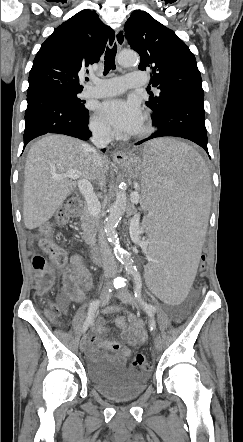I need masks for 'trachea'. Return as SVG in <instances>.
<instances>
[{"instance_id": "obj_1", "label": "trachea", "mask_w": 243, "mask_h": 442, "mask_svg": "<svg viewBox=\"0 0 243 442\" xmlns=\"http://www.w3.org/2000/svg\"><path fill=\"white\" fill-rule=\"evenodd\" d=\"M117 53V46L116 44L112 47V48H108L106 49L105 52V65H104V75H107L108 72L110 70H114L115 69V56Z\"/></svg>"}]
</instances>
